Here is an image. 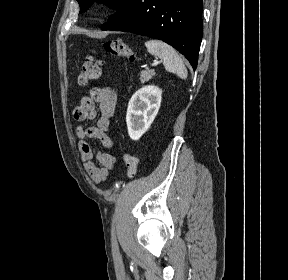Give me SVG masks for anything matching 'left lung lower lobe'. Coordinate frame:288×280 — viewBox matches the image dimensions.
Instances as JSON below:
<instances>
[{
    "label": "left lung lower lobe",
    "mask_w": 288,
    "mask_h": 280,
    "mask_svg": "<svg viewBox=\"0 0 288 280\" xmlns=\"http://www.w3.org/2000/svg\"><path fill=\"white\" fill-rule=\"evenodd\" d=\"M202 0H133L102 30L131 32L162 40L197 67L202 40Z\"/></svg>",
    "instance_id": "obj_1"
}]
</instances>
